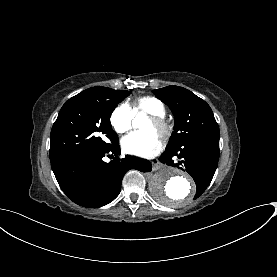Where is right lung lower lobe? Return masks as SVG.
<instances>
[{
  "instance_id": "right-lung-lower-lobe-1",
  "label": "right lung lower lobe",
  "mask_w": 277,
  "mask_h": 277,
  "mask_svg": "<svg viewBox=\"0 0 277 277\" xmlns=\"http://www.w3.org/2000/svg\"><path fill=\"white\" fill-rule=\"evenodd\" d=\"M120 154L119 143L100 151H82L51 162L63 192L76 204L96 208L110 203L121 190L124 174L129 169L150 172L148 160ZM115 156V157H113ZM113 158L108 162L107 158Z\"/></svg>"
}]
</instances>
